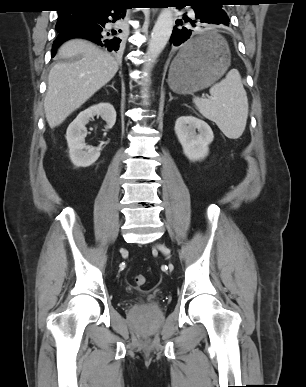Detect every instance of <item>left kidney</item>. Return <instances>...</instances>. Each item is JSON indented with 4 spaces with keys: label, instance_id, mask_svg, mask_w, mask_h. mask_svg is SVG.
<instances>
[{
    "label": "left kidney",
    "instance_id": "left-kidney-1",
    "mask_svg": "<svg viewBox=\"0 0 306 387\" xmlns=\"http://www.w3.org/2000/svg\"><path fill=\"white\" fill-rule=\"evenodd\" d=\"M175 133L189 160H202L208 155V146L213 141L214 135L205 121L191 115L181 116L176 120Z\"/></svg>",
    "mask_w": 306,
    "mask_h": 387
}]
</instances>
